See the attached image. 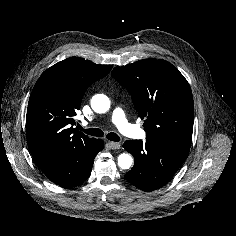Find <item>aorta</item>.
<instances>
[{
  "mask_svg": "<svg viewBox=\"0 0 236 236\" xmlns=\"http://www.w3.org/2000/svg\"><path fill=\"white\" fill-rule=\"evenodd\" d=\"M91 107L97 113H105L110 108V101L107 97H104L101 105L97 102H91ZM132 163L133 159L129 154L123 153L118 156V165L120 168L129 169Z\"/></svg>",
  "mask_w": 236,
  "mask_h": 236,
  "instance_id": "obj_1",
  "label": "aorta"
}]
</instances>
